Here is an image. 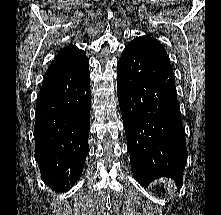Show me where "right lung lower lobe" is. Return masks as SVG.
Returning <instances> with one entry per match:
<instances>
[{
    "label": "right lung lower lobe",
    "mask_w": 221,
    "mask_h": 215,
    "mask_svg": "<svg viewBox=\"0 0 221 215\" xmlns=\"http://www.w3.org/2000/svg\"><path fill=\"white\" fill-rule=\"evenodd\" d=\"M89 60L44 77L36 103L35 159L52 187L73 185L89 151Z\"/></svg>",
    "instance_id": "right-lung-lower-lobe-1"
}]
</instances>
